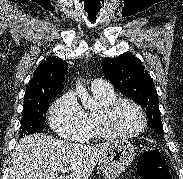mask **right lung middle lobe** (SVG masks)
I'll return each instance as SVG.
<instances>
[{
	"label": "right lung middle lobe",
	"mask_w": 183,
	"mask_h": 179,
	"mask_svg": "<svg viewBox=\"0 0 183 179\" xmlns=\"http://www.w3.org/2000/svg\"><path fill=\"white\" fill-rule=\"evenodd\" d=\"M51 98L52 97L43 98L37 102L24 105L20 136L40 133L43 131V124L46 120L45 115L49 105V99Z\"/></svg>",
	"instance_id": "dd1d6c3e"
}]
</instances>
